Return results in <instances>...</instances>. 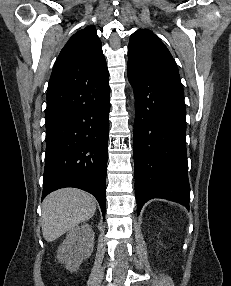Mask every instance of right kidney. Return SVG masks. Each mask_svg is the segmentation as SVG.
<instances>
[{
	"label": "right kidney",
	"mask_w": 231,
	"mask_h": 286,
	"mask_svg": "<svg viewBox=\"0 0 231 286\" xmlns=\"http://www.w3.org/2000/svg\"><path fill=\"white\" fill-rule=\"evenodd\" d=\"M94 248V232L91 225L83 224L70 230L57 252V258L66 264L69 271L79 269L82 261L88 259Z\"/></svg>",
	"instance_id": "right-kidney-1"
}]
</instances>
